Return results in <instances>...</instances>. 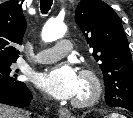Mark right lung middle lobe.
I'll use <instances>...</instances> for the list:
<instances>
[{
  "label": "right lung middle lobe",
  "instance_id": "1",
  "mask_svg": "<svg viewBox=\"0 0 133 118\" xmlns=\"http://www.w3.org/2000/svg\"><path fill=\"white\" fill-rule=\"evenodd\" d=\"M14 63L0 62V89L16 87L23 84V82L16 80L17 74L15 72L18 70H14Z\"/></svg>",
  "mask_w": 133,
  "mask_h": 118
}]
</instances>
